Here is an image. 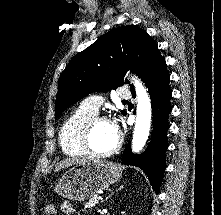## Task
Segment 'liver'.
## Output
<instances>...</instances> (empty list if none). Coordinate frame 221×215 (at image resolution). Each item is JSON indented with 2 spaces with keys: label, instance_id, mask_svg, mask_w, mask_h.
<instances>
[{
  "label": "liver",
  "instance_id": "liver-1",
  "mask_svg": "<svg viewBox=\"0 0 221 215\" xmlns=\"http://www.w3.org/2000/svg\"><path fill=\"white\" fill-rule=\"evenodd\" d=\"M87 160H78V159H66V160H63L61 162H59L58 164H56L55 166V171H59L63 168H67V167H70L72 165H75V164H81L83 162H85Z\"/></svg>",
  "mask_w": 221,
  "mask_h": 215
}]
</instances>
